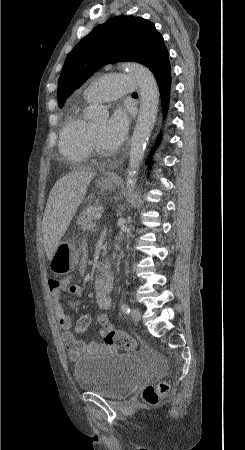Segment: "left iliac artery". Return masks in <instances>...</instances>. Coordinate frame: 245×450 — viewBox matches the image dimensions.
Masks as SVG:
<instances>
[{
    "label": "left iliac artery",
    "mask_w": 245,
    "mask_h": 450,
    "mask_svg": "<svg viewBox=\"0 0 245 450\" xmlns=\"http://www.w3.org/2000/svg\"><path fill=\"white\" fill-rule=\"evenodd\" d=\"M121 310L126 315H128L130 313V308L128 307V305H126L124 303L121 305Z\"/></svg>",
    "instance_id": "left-iliac-artery-1"
}]
</instances>
